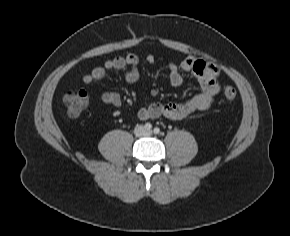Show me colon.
Returning <instances> with one entry per match:
<instances>
[{
	"label": "colon",
	"instance_id": "colon-1",
	"mask_svg": "<svg viewBox=\"0 0 290 236\" xmlns=\"http://www.w3.org/2000/svg\"><path fill=\"white\" fill-rule=\"evenodd\" d=\"M236 95V90L231 86H226L223 90V96L227 100L235 99ZM63 103L70 117H78L87 108L89 95L83 89L68 91L63 96Z\"/></svg>",
	"mask_w": 290,
	"mask_h": 236
}]
</instances>
